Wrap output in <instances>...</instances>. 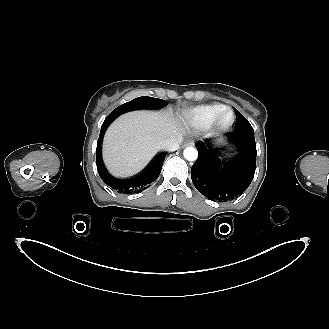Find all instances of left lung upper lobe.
Here are the masks:
<instances>
[{
  "instance_id": "1",
  "label": "left lung upper lobe",
  "mask_w": 329,
  "mask_h": 329,
  "mask_svg": "<svg viewBox=\"0 0 329 329\" xmlns=\"http://www.w3.org/2000/svg\"><path fill=\"white\" fill-rule=\"evenodd\" d=\"M234 110L236 113V124L234 130L253 129L248 120L236 108H234Z\"/></svg>"
}]
</instances>
